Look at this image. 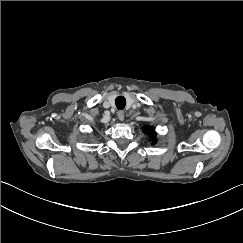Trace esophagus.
Instances as JSON below:
<instances>
[{
  "mask_svg": "<svg viewBox=\"0 0 243 243\" xmlns=\"http://www.w3.org/2000/svg\"><path fill=\"white\" fill-rule=\"evenodd\" d=\"M117 116L119 118L120 121H123L124 120V117H125V113L124 111L120 110L117 112Z\"/></svg>",
  "mask_w": 243,
  "mask_h": 243,
  "instance_id": "1",
  "label": "esophagus"
}]
</instances>
